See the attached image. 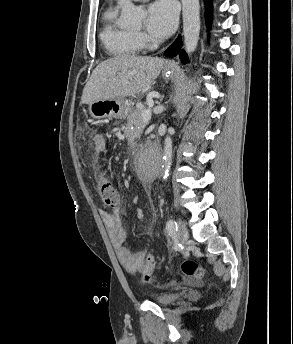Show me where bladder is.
<instances>
[{"label": "bladder", "mask_w": 293, "mask_h": 344, "mask_svg": "<svg viewBox=\"0 0 293 344\" xmlns=\"http://www.w3.org/2000/svg\"><path fill=\"white\" fill-rule=\"evenodd\" d=\"M182 295L179 293H159L152 296V301L160 306H171L176 304Z\"/></svg>", "instance_id": "bladder-1"}]
</instances>
